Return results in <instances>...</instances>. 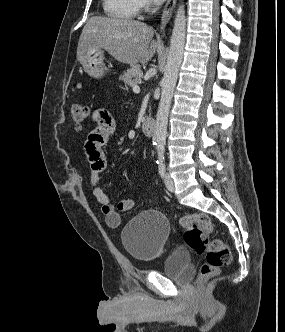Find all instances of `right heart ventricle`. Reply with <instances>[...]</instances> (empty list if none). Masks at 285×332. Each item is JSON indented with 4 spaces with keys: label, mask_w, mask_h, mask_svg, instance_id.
Segmentation results:
<instances>
[{
    "label": "right heart ventricle",
    "mask_w": 285,
    "mask_h": 332,
    "mask_svg": "<svg viewBox=\"0 0 285 332\" xmlns=\"http://www.w3.org/2000/svg\"><path fill=\"white\" fill-rule=\"evenodd\" d=\"M105 14L118 20H132L140 10V0H102Z\"/></svg>",
    "instance_id": "obj_1"
}]
</instances>
